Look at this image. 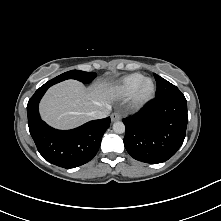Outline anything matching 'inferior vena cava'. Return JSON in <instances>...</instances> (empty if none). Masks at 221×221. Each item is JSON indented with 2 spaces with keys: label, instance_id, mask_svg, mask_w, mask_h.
I'll return each instance as SVG.
<instances>
[{
  "label": "inferior vena cava",
  "instance_id": "inferior-vena-cava-1",
  "mask_svg": "<svg viewBox=\"0 0 221 221\" xmlns=\"http://www.w3.org/2000/svg\"><path fill=\"white\" fill-rule=\"evenodd\" d=\"M110 111H111L110 105H106L102 109H98V110L92 111L89 115L93 119H102V118H106L108 116V114L110 113Z\"/></svg>",
  "mask_w": 221,
  "mask_h": 221
}]
</instances>
